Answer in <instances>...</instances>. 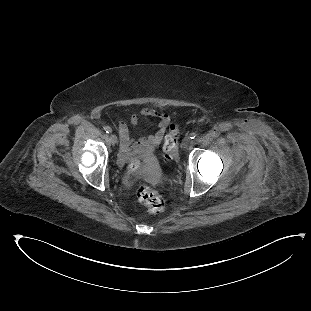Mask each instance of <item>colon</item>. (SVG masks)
Wrapping results in <instances>:
<instances>
[{"mask_svg":"<svg viewBox=\"0 0 311 311\" xmlns=\"http://www.w3.org/2000/svg\"><path fill=\"white\" fill-rule=\"evenodd\" d=\"M179 139V129L175 124H171L165 134L163 144L164 161L170 163L176 157ZM130 166L134 170H139L143 166V161L139 157H134L130 161ZM129 171L124 174V179H128ZM138 201L151 213H160L163 210L164 202L159 193L145 181H140L136 188Z\"/></svg>","mask_w":311,"mask_h":311,"instance_id":"colon-1","label":"colon"}]
</instances>
